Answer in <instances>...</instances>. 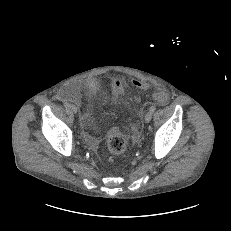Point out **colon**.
Here are the masks:
<instances>
[{
    "label": "colon",
    "mask_w": 231,
    "mask_h": 231,
    "mask_svg": "<svg viewBox=\"0 0 231 231\" xmlns=\"http://www.w3.org/2000/svg\"><path fill=\"white\" fill-rule=\"evenodd\" d=\"M133 85L140 89H146L147 84L138 80L133 81ZM112 87L116 95H121L123 91V82L120 78L116 77L112 80ZM154 99L160 104L167 101V95L164 92L154 93ZM127 141L117 126H112L107 134V147L112 155H120L126 149Z\"/></svg>",
    "instance_id": "1"
}]
</instances>
